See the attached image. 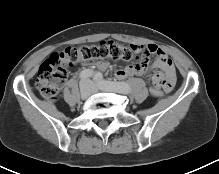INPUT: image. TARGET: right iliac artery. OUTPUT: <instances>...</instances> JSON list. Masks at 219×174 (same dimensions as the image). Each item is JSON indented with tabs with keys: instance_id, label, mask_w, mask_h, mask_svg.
Here are the masks:
<instances>
[{
	"instance_id": "obj_1",
	"label": "right iliac artery",
	"mask_w": 219,
	"mask_h": 174,
	"mask_svg": "<svg viewBox=\"0 0 219 174\" xmlns=\"http://www.w3.org/2000/svg\"><path fill=\"white\" fill-rule=\"evenodd\" d=\"M93 74H94V72L92 70L86 69L80 73L79 77L81 80H85V79L93 76Z\"/></svg>"
}]
</instances>
